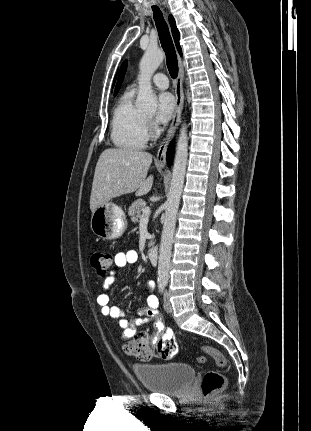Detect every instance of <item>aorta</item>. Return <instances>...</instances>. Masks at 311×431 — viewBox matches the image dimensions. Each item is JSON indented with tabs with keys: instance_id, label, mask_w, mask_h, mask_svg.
<instances>
[{
	"instance_id": "1",
	"label": "aorta",
	"mask_w": 311,
	"mask_h": 431,
	"mask_svg": "<svg viewBox=\"0 0 311 431\" xmlns=\"http://www.w3.org/2000/svg\"><path fill=\"white\" fill-rule=\"evenodd\" d=\"M165 58L162 50H146L140 64L139 76L137 78L139 84V94L137 96V108L148 110V112H156L157 98L153 94L151 86V78L162 64ZM188 158V136L187 126L182 124L179 132V138L176 144V154L174 158V166L172 170L171 184L168 192L167 202H165V221L161 235V243L159 247V261H158V281L162 283L168 281L171 249L173 243V235L175 231L176 216L183 192L186 164Z\"/></svg>"
}]
</instances>
